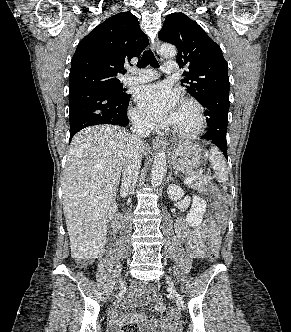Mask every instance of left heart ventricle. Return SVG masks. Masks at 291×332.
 Listing matches in <instances>:
<instances>
[{"instance_id":"1","label":"left heart ventricle","mask_w":291,"mask_h":332,"mask_svg":"<svg viewBox=\"0 0 291 332\" xmlns=\"http://www.w3.org/2000/svg\"><path fill=\"white\" fill-rule=\"evenodd\" d=\"M195 124L196 118L193 109L190 106L180 103L176 109L172 126L182 130H189L192 129Z\"/></svg>"}]
</instances>
